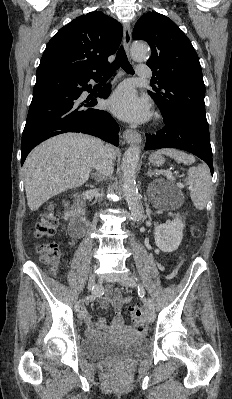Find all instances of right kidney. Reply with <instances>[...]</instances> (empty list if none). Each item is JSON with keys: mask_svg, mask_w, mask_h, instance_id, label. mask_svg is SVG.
<instances>
[{"mask_svg": "<svg viewBox=\"0 0 232 399\" xmlns=\"http://www.w3.org/2000/svg\"><path fill=\"white\" fill-rule=\"evenodd\" d=\"M65 205H68V201H66ZM70 211H66L64 215V219H69Z\"/></svg>", "mask_w": 232, "mask_h": 399, "instance_id": "1", "label": "right kidney"}]
</instances>
